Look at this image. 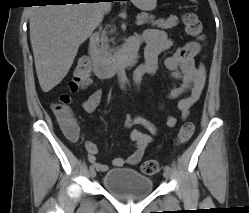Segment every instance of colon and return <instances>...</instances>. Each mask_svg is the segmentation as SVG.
<instances>
[{"instance_id": "obj_1", "label": "colon", "mask_w": 249, "mask_h": 213, "mask_svg": "<svg viewBox=\"0 0 249 213\" xmlns=\"http://www.w3.org/2000/svg\"><path fill=\"white\" fill-rule=\"evenodd\" d=\"M186 32L195 37L202 38V27L197 16L192 12H186L182 16ZM91 83V71L84 58L80 59L74 70L73 79L69 83V92L71 94L78 93L85 89ZM72 98L70 94H62L59 100L52 103L51 108L60 123L66 125L72 124V115L70 110V103ZM194 124L191 122L185 123L181 126L177 134V142L184 143L192 136L194 132ZM158 163L155 160H146L141 165V171L145 175H154L158 171Z\"/></svg>"}]
</instances>
